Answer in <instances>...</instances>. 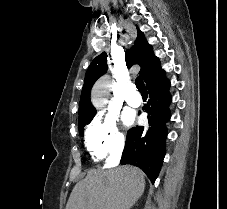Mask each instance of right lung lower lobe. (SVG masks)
<instances>
[{"mask_svg": "<svg viewBox=\"0 0 227 209\" xmlns=\"http://www.w3.org/2000/svg\"><path fill=\"white\" fill-rule=\"evenodd\" d=\"M150 100L143 107L148 113L149 127H135L128 131L121 164H131L141 168L152 183L158 177L165 156L167 136L166 123L170 119L168 92L170 82L164 71H157L145 82Z\"/></svg>", "mask_w": 227, "mask_h": 209, "instance_id": "98d812e1", "label": "right lung lower lobe"}]
</instances>
